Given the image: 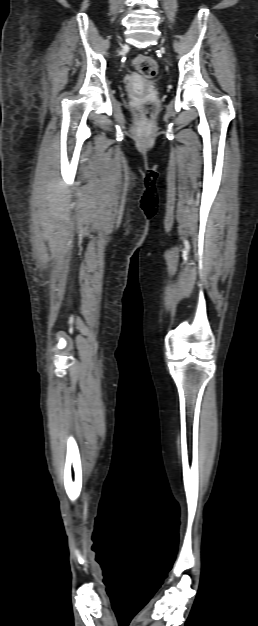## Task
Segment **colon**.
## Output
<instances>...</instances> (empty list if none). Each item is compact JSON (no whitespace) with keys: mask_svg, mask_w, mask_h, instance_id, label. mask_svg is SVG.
Returning a JSON list of instances; mask_svg holds the SVG:
<instances>
[{"mask_svg":"<svg viewBox=\"0 0 258 626\" xmlns=\"http://www.w3.org/2000/svg\"><path fill=\"white\" fill-rule=\"evenodd\" d=\"M136 70L146 78H153L157 74L158 66L156 61L146 55H139L134 60ZM144 116H148L147 109L144 110Z\"/></svg>","mask_w":258,"mask_h":626,"instance_id":"obj_1","label":"colon"}]
</instances>
